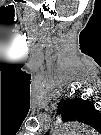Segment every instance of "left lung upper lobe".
Listing matches in <instances>:
<instances>
[{
	"label": "left lung upper lobe",
	"mask_w": 101,
	"mask_h": 135,
	"mask_svg": "<svg viewBox=\"0 0 101 135\" xmlns=\"http://www.w3.org/2000/svg\"><path fill=\"white\" fill-rule=\"evenodd\" d=\"M58 107L64 122L77 120L87 123V119L97 113L90 101L80 98L61 101Z\"/></svg>",
	"instance_id": "obj_1"
}]
</instances>
